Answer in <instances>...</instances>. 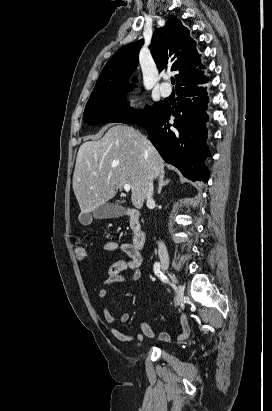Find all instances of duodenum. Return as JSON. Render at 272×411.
Returning <instances> with one entry per match:
<instances>
[{"instance_id": "obj_1", "label": "duodenum", "mask_w": 272, "mask_h": 411, "mask_svg": "<svg viewBox=\"0 0 272 411\" xmlns=\"http://www.w3.org/2000/svg\"><path fill=\"white\" fill-rule=\"evenodd\" d=\"M125 217H127L133 224H135L139 218V212L136 209H126L124 213ZM146 233L140 229L135 227L132 232V244L133 246L139 250L144 247L146 243Z\"/></svg>"}]
</instances>
